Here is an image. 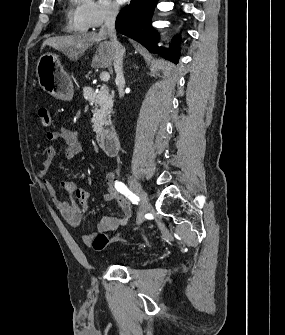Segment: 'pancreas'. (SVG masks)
Wrapping results in <instances>:
<instances>
[{
    "label": "pancreas",
    "mask_w": 285,
    "mask_h": 335,
    "mask_svg": "<svg viewBox=\"0 0 285 335\" xmlns=\"http://www.w3.org/2000/svg\"><path fill=\"white\" fill-rule=\"evenodd\" d=\"M83 91L85 93H92V86L83 85ZM93 102L95 104V110L93 114L95 118H92V125H106L110 126V114L113 108V98L110 96L106 86H102L100 92H95L93 96Z\"/></svg>",
    "instance_id": "cf45deb5"
}]
</instances>
